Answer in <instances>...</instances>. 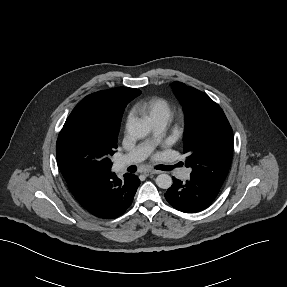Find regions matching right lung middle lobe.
I'll return each mask as SVG.
<instances>
[{"label": "right lung middle lobe", "instance_id": "dd1d6c3e", "mask_svg": "<svg viewBox=\"0 0 287 287\" xmlns=\"http://www.w3.org/2000/svg\"><path fill=\"white\" fill-rule=\"evenodd\" d=\"M118 132L111 133L102 111L79 103L67 118L56 143L62 175L73 180H97L110 173V157ZM64 177V176H63Z\"/></svg>", "mask_w": 287, "mask_h": 287}]
</instances>
